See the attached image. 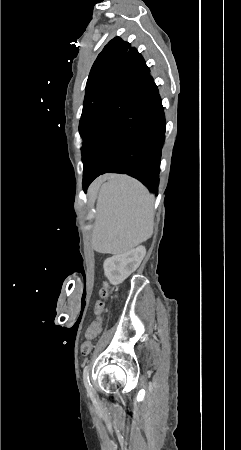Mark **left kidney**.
Returning <instances> with one entry per match:
<instances>
[{"label":"left kidney","instance_id":"left-kidney-1","mask_svg":"<svg viewBox=\"0 0 241 450\" xmlns=\"http://www.w3.org/2000/svg\"><path fill=\"white\" fill-rule=\"evenodd\" d=\"M146 248L144 246H138L135 250H130L122 256H112L107 258L103 264L106 278H108L110 284L118 286L122 284L132 272H135L139 268L143 258H145Z\"/></svg>","mask_w":241,"mask_h":450}]
</instances>
